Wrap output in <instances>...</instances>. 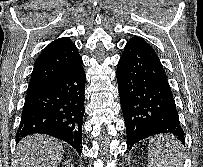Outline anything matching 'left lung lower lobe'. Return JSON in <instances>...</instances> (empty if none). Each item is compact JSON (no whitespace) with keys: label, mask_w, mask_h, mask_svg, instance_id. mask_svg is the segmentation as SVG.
<instances>
[{"label":"left lung lower lobe","mask_w":203,"mask_h":167,"mask_svg":"<svg viewBox=\"0 0 203 167\" xmlns=\"http://www.w3.org/2000/svg\"><path fill=\"white\" fill-rule=\"evenodd\" d=\"M116 77L128 149L156 134L174 135L185 144L165 71L151 46L135 39L128 41Z\"/></svg>","instance_id":"0a47b994"}]
</instances>
